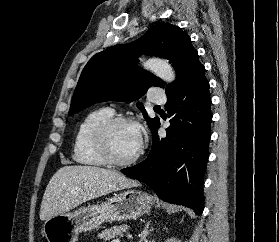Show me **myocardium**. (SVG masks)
I'll use <instances>...</instances> for the list:
<instances>
[{
    "instance_id": "f54148a6",
    "label": "myocardium",
    "mask_w": 279,
    "mask_h": 242,
    "mask_svg": "<svg viewBox=\"0 0 279 242\" xmlns=\"http://www.w3.org/2000/svg\"><path fill=\"white\" fill-rule=\"evenodd\" d=\"M120 125H133L138 128L140 131V145L136 153L131 156L128 159H118L111 148V133L112 131L120 126ZM141 125L140 123L131 117L126 116H111L109 118H106L104 120H101L93 131V141L94 145L97 148L100 155L103 157V159L110 165L114 166H129L135 163L143 150V139L141 136Z\"/></svg>"
}]
</instances>
